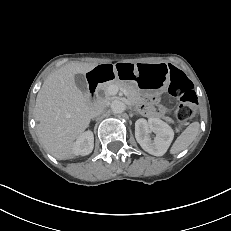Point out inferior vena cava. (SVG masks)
<instances>
[{
	"mask_svg": "<svg viewBox=\"0 0 231 231\" xmlns=\"http://www.w3.org/2000/svg\"><path fill=\"white\" fill-rule=\"evenodd\" d=\"M105 103L103 101H96L91 107V117H97L105 110Z\"/></svg>",
	"mask_w": 231,
	"mask_h": 231,
	"instance_id": "inferior-vena-cava-1",
	"label": "inferior vena cava"
}]
</instances>
